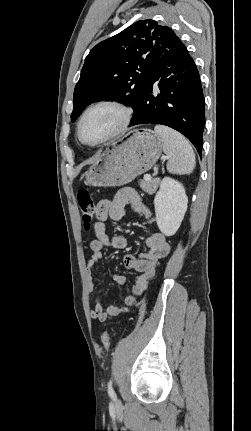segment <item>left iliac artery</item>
Masks as SVG:
<instances>
[{
    "instance_id": "1",
    "label": "left iliac artery",
    "mask_w": 251,
    "mask_h": 431,
    "mask_svg": "<svg viewBox=\"0 0 251 431\" xmlns=\"http://www.w3.org/2000/svg\"><path fill=\"white\" fill-rule=\"evenodd\" d=\"M108 394H109L111 397H115V392H114L113 387H112V380H110V381L108 382Z\"/></svg>"
}]
</instances>
